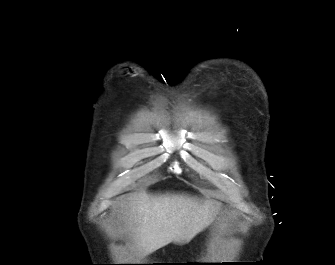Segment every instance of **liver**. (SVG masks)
Returning <instances> with one entry per match:
<instances>
[{
  "label": "liver",
  "instance_id": "liver-1",
  "mask_svg": "<svg viewBox=\"0 0 335 265\" xmlns=\"http://www.w3.org/2000/svg\"><path fill=\"white\" fill-rule=\"evenodd\" d=\"M129 212L133 238L146 256L170 243L184 244L213 221L211 201L183 194L134 196Z\"/></svg>",
  "mask_w": 335,
  "mask_h": 265
}]
</instances>
